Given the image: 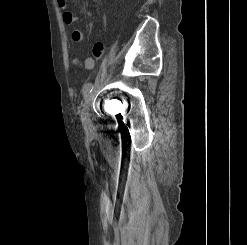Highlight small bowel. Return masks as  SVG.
Masks as SVG:
<instances>
[{"instance_id": "small-bowel-1", "label": "small bowel", "mask_w": 247, "mask_h": 245, "mask_svg": "<svg viewBox=\"0 0 247 245\" xmlns=\"http://www.w3.org/2000/svg\"><path fill=\"white\" fill-rule=\"evenodd\" d=\"M57 4L60 8L66 9L67 0H57ZM78 18L70 11L65 10L63 12V21L67 25L73 24ZM85 38V33L82 30L76 29L72 32V39L76 42L83 41ZM93 55L95 58H99L103 51V46L101 43H95L92 48ZM75 65L81 66L85 69H92L95 65V60L93 58H86L84 60H79L75 58L73 60Z\"/></svg>"}]
</instances>
